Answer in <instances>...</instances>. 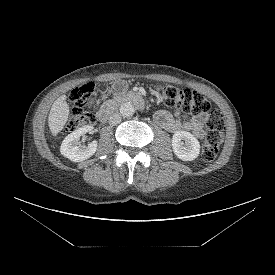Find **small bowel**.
<instances>
[{
    "label": "small bowel",
    "instance_id": "1",
    "mask_svg": "<svg viewBox=\"0 0 275 275\" xmlns=\"http://www.w3.org/2000/svg\"><path fill=\"white\" fill-rule=\"evenodd\" d=\"M127 88V83L124 80L116 81L112 86L114 93H121ZM208 119L206 113L196 115L187 121L180 119V112H176L174 115L165 110H159L155 115L157 124L169 132H177L181 129L191 131L193 134L201 139L204 135V125Z\"/></svg>",
    "mask_w": 275,
    "mask_h": 275
}]
</instances>
